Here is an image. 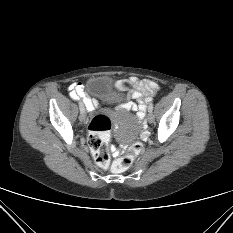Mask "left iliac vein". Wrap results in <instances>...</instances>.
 Wrapping results in <instances>:
<instances>
[{
    "mask_svg": "<svg viewBox=\"0 0 233 233\" xmlns=\"http://www.w3.org/2000/svg\"><path fill=\"white\" fill-rule=\"evenodd\" d=\"M147 121H148L149 123H153V121H154V116H153L152 112H149V113H148V115H147Z\"/></svg>",
    "mask_w": 233,
    "mask_h": 233,
    "instance_id": "4c4485c4",
    "label": "left iliac vein"
}]
</instances>
